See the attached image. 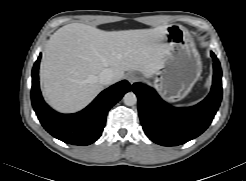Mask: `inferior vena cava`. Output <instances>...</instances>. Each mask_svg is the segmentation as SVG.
<instances>
[{"label":"inferior vena cava","mask_w":246,"mask_h":181,"mask_svg":"<svg viewBox=\"0 0 246 181\" xmlns=\"http://www.w3.org/2000/svg\"><path fill=\"white\" fill-rule=\"evenodd\" d=\"M114 75L111 69H104L98 75V82L102 85H109L113 82Z\"/></svg>","instance_id":"inferior-vena-cava-1"}]
</instances>
